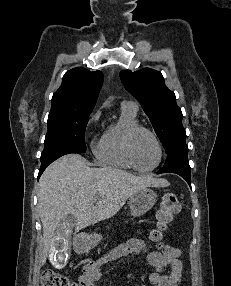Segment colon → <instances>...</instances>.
I'll return each instance as SVG.
<instances>
[{"instance_id": "obj_1", "label": "colon", "mask_w": 231, "mask_h": 286, "mask_svg": "<svg viewBox=\"0 0 231 286\" xmlns=\"http://www.w3.org/2000/svg\"><path fill=\"white\" fill-rule=\"evenodd\" d=\"M180 210L181 205L176 195L166 193L157 212V228L150 235L153 241H159L162 238L163 232L173 222ZM41 286H78V284L59 272L47 270L42 275Z\"/></svg>"}]
</instances>
